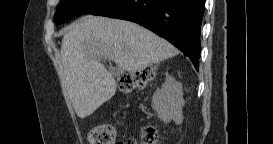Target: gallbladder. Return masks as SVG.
<instances>
[{
    "label": "gallbladder",
    "instance_id": "obj_1",
    "mask_svg": "<svg viewBox=\"0 0 273 144\" xmlns=\"http://www.w3.org/2000/svg\"><path fill=\"white\" fill-rule=\"evenodd\" d=\"M108 73L110 76H122V70L120 68H117L116 65H109L108 67Z\"/></svg>",
    "mask_w": 273,
    "mask_h": 144
}]
</instances>
